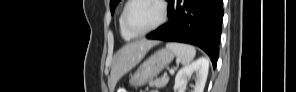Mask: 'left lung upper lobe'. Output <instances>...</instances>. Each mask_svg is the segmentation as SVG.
Wrapping results in <instances>:
<instances>
[{
    "instance_id": "obj_1",
    "label": "left lung upper lobe",
    "mask_w": 296,
    "mask_h": 92,
    "mask_svg": "<svg viewBox=\"0 0 296 92\" xmlns=\"http://www.w3.org/2000/svg\"><path fill=\"white\" fill-rule=\"evenodd\" d=\"M169 1V0H168ZM120 2V0H111L110 2V9H111V13H114V9L116 7V5Z\"/></svg>"
}]
</instances>
